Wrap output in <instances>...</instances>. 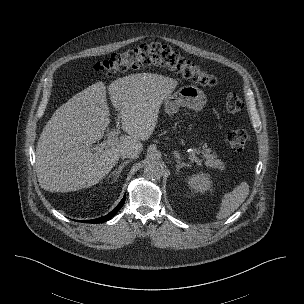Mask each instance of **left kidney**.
<instances>
[{
	"instance_id": "5707ae66",
	"label": "left kidney",
	"mask_w": 304,
	"mask_h": 304,
	"mask_svg": "<svg viewBox=\"0 0 304 304\" xmlns=\"http://www.w3.org/2000/svg\"><path fill=\"white\" fill-rule=\"evenodd\" d=\"M187 183L196 192H205L210 189L212 181L209 174L199 173L190 176L187 179Z\"/></svg>"
}]
</instances>
